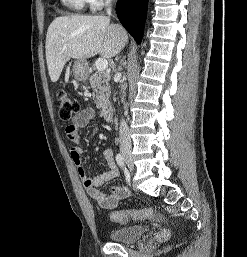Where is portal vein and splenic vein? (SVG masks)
<instances>
[{"mask_svg":"<svg viewBox=\"0 0 247 257\" xmlns=\"http://www.w3.org/2000/svg\"><path fill=\"white\" fill-rule=\"evenodd\" d=\"M98 71H104L108 67V61L104 58H99L95 62Z\"/></svg>","mask_w":247,"mask_h":257,"instance_id":"portal-vein-and-splenic-vein-1","label":"portal vein and splenic vein"}]
</instances>
